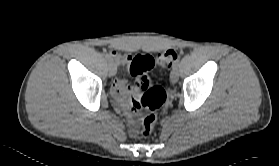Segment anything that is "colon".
Instances as JSON below:
<instances>
[{"instance_id":"5ec220e1","label":"colon","mask_w":279,"mask_h":166,"mask_svg":"<svg viewBox=\"0 0 279 166\" xmlns=\"http://www.w3.org/2000/svg\"><path fill=\"white\" fill-rule=\"evenodd\" d=\"M177 59V52L167 49L161 52L156 60L150 55H137L130 63V72L135 77L138 88L142 91L138 102L146 112L140 127L142 137H148L152 133L157 120L156 112L166 101L164 88L151 82L149 71L155 63L164 69H169Z\"/></svg>"}]
</instances>
